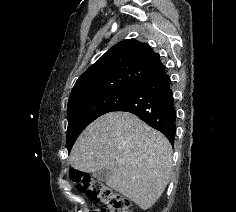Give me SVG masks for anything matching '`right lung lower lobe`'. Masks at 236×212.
<instances>
[{
  "label": "right lung lower lobe",
  "mask_w": 236,
  "mask_h": 212,
  "mask_svg": "<svg viewBox=\"0 0 236 212\" xmlns=\"http://www.w3.org/2000/svg\"><path fill=\"white\" fill-rule=\"evenodd\" d=\"M114 111L130 112L149 126L162 132L174 143L176 110L171 90V80L161 64L144 76L134 87L131 95Z\"/></svg>",
  "instance_id": "1"
}]
</instances>
